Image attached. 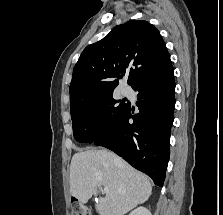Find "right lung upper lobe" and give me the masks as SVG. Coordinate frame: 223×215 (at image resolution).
<instances>
[{"mask_svg":"<svg viewBox=\"0 0 223 215\" xmlns=\"http://www.w3.org/2000/svg\"><path fill=\"white\" fill-rule=\"evenodd\" d=\"M173 70L170 55L159 31L143 20L115 26L102 40L87 46L74 67L70 84V109L113 93L129 71L134 88Z\"/></svg>","mask_w":223,"mask_h":215,"instance_id":"right-lung-upper-lobe-1","label":"right lung upper lobe"}]
</instances>
